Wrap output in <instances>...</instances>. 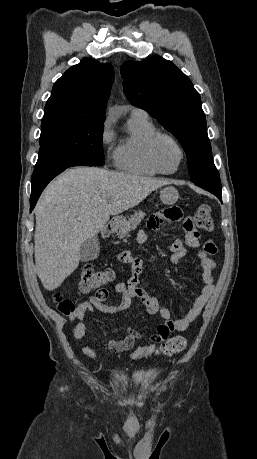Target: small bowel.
Masks as SVG:
<instances>
[{"mask_svg":"<svg viewBox=\"0 0 257 459\" xmlns=\"http://www.w3.org/2000/svg\"><path fill=\"white\" fill-rule=\"evenodd\" d=\"M178 222H183L181 232L174 237V243L167 249V256L174 265H190L194 271L200 274L203 286L198 290L194 300L186 307L185 314L179 319H172L170 309L162 305L159 297L149 294L139 286L142 266L145 264V255L134 252L133 249H120L118 252L119 264H133V273L126 283H117L115 292L120 296L118 304H107L105 300L97 298L96 294L77 304L76 309L68 316V321L77 320L72 335L75 341L81 343L87 325L85 319L93 311L103 314H116L127 310L134 298L140 300L146 312L151 315L158 314L163 322L158 324L156 332L151 335L150 342L136 347L130 354V359L137 361L151 356L157 349V344L164 342L173 331L186 330L200 315L204 306L208 302L214 291V270L216 262L213 255L216 252L215 246L206 242L201 244L196 235L195 221L191 220V215L187 211L186 205H157L154 213H148L145 218V225L154 228L156 226H176ZM138 234L134 235V244H149V235L144 234V229H138ZM186 247H199L198 258H187ZM108 292V291H107ZM118 329L115 330V334ZM143 336L133 328L127 329V334L123 339L111 337L107 342V347L112 352H123L134 348L136 341ZM82 353L92 359L98 360L99 354L95 349L88 345L81 344Z\"/></svg>","mask_w":257,"mask_h":459,"instance_id":"small-bowel-1","label":"small bowel"}]
</instances>
